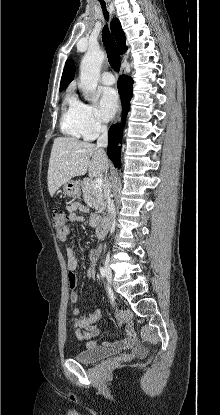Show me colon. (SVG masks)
<instances>
[{
    "mask_svg": "<svg viewBox=\"0 0 220 415\" xmlns=\"http://www.w3.org/2000/svg\"><path fill=\"white\" fill-rule=\"evenodd\" d=\"M52 220L58 235H61L70 220V215L63 210H56L52 213Z\"/></svg>",
    "mask_w": 220,
    "mask_h": 415,
    "instance_id": "1",
    "label": "colon"
}]
</instances>
